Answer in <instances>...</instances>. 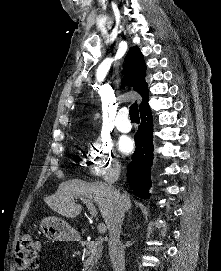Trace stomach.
Returning a JSON list of instances; mask_svg holds the SVG:
<instances>
[{
  "mask_svg": "<svg viewBox=\"0 0 221 271\" xmlns=\"http://www.w3.org/2000/svg\"><path fill=\"white\" fill-rule=\"evenodd\" d=\"M40 227L44 235L52 241H75L79 237L70 223L60 217H44L41 219Z\"/></svg>",
  "mask_w": 221,
  "mask_h": 271,
  "instance_id": "1",
  "label": "stomach"
}]
</instances>
